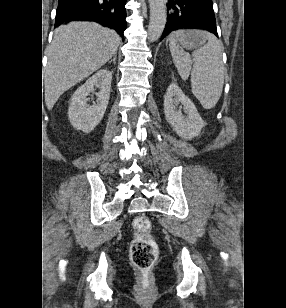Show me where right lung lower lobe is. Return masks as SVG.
Segmentation results:
<instances>
[{
    "mask_svg": "<svg viewBox=\"0 0 286 308\" xmlns=\"http://www.w3.org/2000/svg\"><path fill=\"white\" fill-rule=\"evenodd\" d=\"M125 4L126 0H59L55 27L74 20L94 21L115 29L124 39Z\"/></svg>",
    "mask_w": 286,
    "mask_h": 308,
    "instance_id": "obj_1",
    "label": "right lung lower lobe"
}]
</instances>
